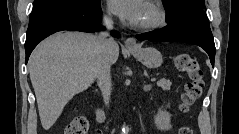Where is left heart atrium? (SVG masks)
Returning a JSON list of instances; mask_svg holds the SVG:
<instances>
[{
  "instance_id": "left-heart-atrium-1",
  "label": "left heart atrium",
  "mask_w": 239,
  "mask_h": 134,
  "mask_svg": "<svg viewBox=\"0 0 239 134\" xmlns=\"http://www.w3.org/2000/svg\"><path fill=\"white\" fill-rule=\"evenodd\" d=\"M110 3L114 11L128 23L137 25L141 21L145 8L142 0H112Z\"/></svg>"
}]
</instances>
